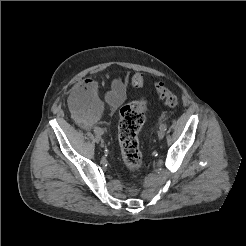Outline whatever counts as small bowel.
<instances>
[{"label": "small bowel", "mask_w": 246, "mask_h": 246, "mask_svg": "<svg viewBox=\"0 0 246 246\" xmlns=\"http://www.w3.org/2000/svg\"><path fill=\"white\" fill-rule=\"evenodd\" d=\"M127 86V78L114 79L110 90L103 91L92 77L75 85L70 92L69 106L76 123L83 128L103 124L102 113L115 111L125 102Z\"/></svg>", "instance_id": "small-bowel-1"}]
</instances>
